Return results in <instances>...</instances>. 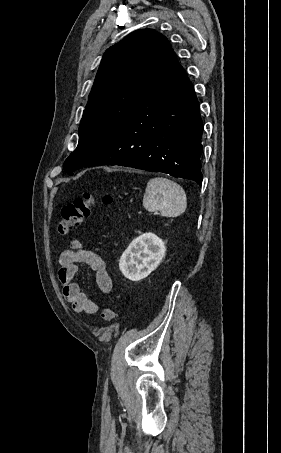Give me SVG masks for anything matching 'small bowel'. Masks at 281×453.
I'll return each mask as SVG.
<instances>
[{
  "label": "small bowel",
  "mask_w": 281,
  "mask_h": 453,
  "mask_svg": "<svg viewBox=\"0 0 281 453\" xmlns=\"http://www.w3.org/2000/svg\"><path fill=\"white\" fill-rule=\"evenodd\" d=\"M79 264L88 265L94 272V281L98 290L109 292L112 287L110 276L106 270L105 259L92 251L82 248L77 242L70 249L60 253L58 277L62 284V293L67 302L77 312L96 314L98 306L81 294L74 282Z\"/></svg>",
  "instance_id": "obj_1"
}]
</instances>
